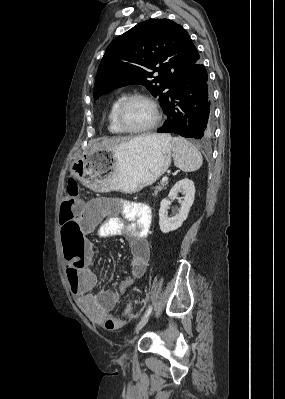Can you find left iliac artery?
Listing matches in <instances>:
<instances>
[{"label":"left iliac artery","instance_id":"left-iliac-artery-1","mask_svg":"<svg viewBox=\"0 0 285 399\" xmlns=\"http://www.w3.org/2000/svg\"><path fill=\"white\" fill-rule=\"evenodd\" d=\"M152 309H153L152 306H149V308L146 310V312H145L143 318H144V317H147L148 315H150L151 312H152Z\"/></svg>","mask_w":285,"mask_h":399}]
</instances>
